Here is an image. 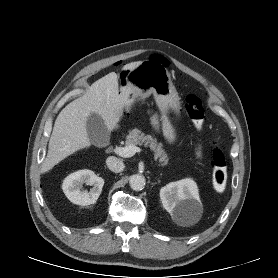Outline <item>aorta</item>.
I'll return each instance as SVG.
<instances>
[{
	"mask_svg": "<svg viewBox=\"0 0 278 278\" xmlns=\"http://www.w3.org/2000/svg\"><path fill=\"white\" fill-rule=\"evenodd\" d=\"M130 187L135 191H141L146 184L145 177L140 174H135L130 177Z\"/></svg>",
	"mask_w": 278,
	"mask_h": 278,
	"instance_id": "1",
	"label": "aorta"
}]
</instances>
